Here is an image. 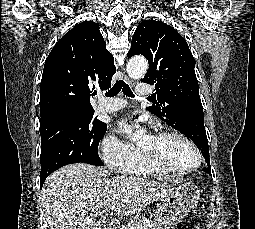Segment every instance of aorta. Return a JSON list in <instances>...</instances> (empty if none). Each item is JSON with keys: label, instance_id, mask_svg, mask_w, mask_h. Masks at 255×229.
<instances>
[{"label": "aorta", "instance_id": "762f6f07", "mask_svg": "<svg viewBox=\"0 0 255 229\" xmlns=\"http://www.w3.org/2000/svg\"><path fill=\"white\" fill-rule=\"evenodd\" d=\"M148 69V62L144 57L131 58L127 64V73L131 79L142 78ZM142 136L141 131H136L131 139L136 141Z\"/></svg>", "mask_w": 255, "mask_h": 229}]
</instances>
